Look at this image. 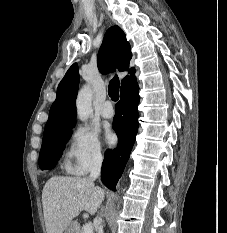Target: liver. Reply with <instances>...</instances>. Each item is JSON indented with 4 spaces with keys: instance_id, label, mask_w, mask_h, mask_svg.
Masks as SVG:
<instances>
[{
    "instance_id": "1",
    "label": "liver",
    "mask_w": 227,
    "mask_h": 233,
    "mask_svg": "<svg viewBox=\"0 0 227 233\" xmlns=\"http://www.w3.org/2000/svg\"><path fill=\"white\" fill-rule=\"evenodd\" d=\"M105 192L91 178L53 176L44 185L42 204L47 233H63L81 211L93 215Z\"/></svg>"
}]
</instances>
